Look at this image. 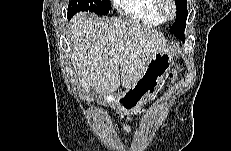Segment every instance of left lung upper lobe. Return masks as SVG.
Instances as JSON below:
<instances>
[{"label":"left lung upper lobe","instance_id":"obj_1","mask_svg":"<svg viewBox=\"0 0 231 151\" xmlns=\"http://www.w3.org/2000/svg\"><path fill=\"white\" fill-rule=\"evenodd\" d=\"M176 20L170 28V32L180 39H184V30L186 26V19L188 16L187 11V1L186 0H176Z\"/></svg>","mask_w":231,"mask_h":151}]
</instances>
